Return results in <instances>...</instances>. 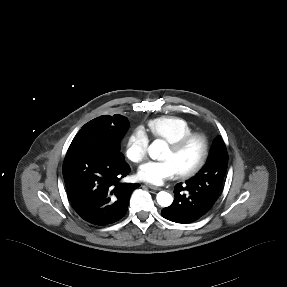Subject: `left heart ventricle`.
Returning <instances> with one entry per match:
<instances>
[{
	"label": "left heart ventricle",
	"mask_w": 287,
	"mask_h": 287,
	"mask_svg": "<svg viewBox=\"0 0 287 287\" xmlns=\"http://www.w3.org/2000/svg\"><path fill=\"white\" fill-rule=\"evenodd\" d=\"M201 154V145L198 141L191 143L180 153H173L168 148L163 156L164 161H171L178 173L194 165Z\"/></svg>",
	"instance_id": "obj_1"
}]
</instances>
